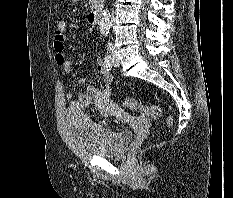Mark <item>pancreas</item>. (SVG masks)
I'll return each instance as SVG.
<instances>
[{
	"mask_svg": "<svg viewBox=\"0 0 233 198\" xmlns=\"http://www.w3.org/2000/svg\"><path fill=\"white\" fill-rule=\"evenodd\" d=\"M103 0H90L89 4H91V8L95 9L98 6H100L102 4Z\"/></svg>",
	"mask_w": 233,
	"mask_h": 198,
	"instance_id": "obj_1",
	"label": "pancreas"
}]
</instances>
